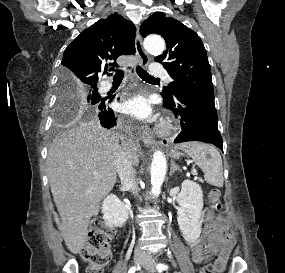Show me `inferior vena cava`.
<instances>
[{"label":"inferior vena cava","mask_w":285,"mask_h":273,"mask_svg":"<svg viewBox=\"0 0 285 273\" xmlns=\"http://www.w3.org/2000/svg\"><path fill=\"white\" fill-rule=\"evenodd\" d=\"M114 166L121 179V183L128 187L132 194L138 193V183L135 180V169L130 157L127 155L123 146H118L114 155ZM135 253L143 254L140 247L135 248Z\"/></svg>","instance_id":"obj_1"}]
</instances>
